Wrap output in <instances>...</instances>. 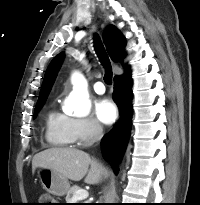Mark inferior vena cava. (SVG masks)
<instances>
[{
  "label": "inferior vena cava",
  "instance_id": "602c4592",
  "mask_svg": "<svg viewBox=\"0 0 200 205\" xmlns=\"http://www.w3.org/2000/svg\"><path fill=\"white\" fill-rule=\"evenodd\" d=\"M93 137L94 141L100 140L103 135V130L99 124L93 126Z\"/></svg>",
  "mask_w": 200,
  "mask_h": 205
}]
</instances>
